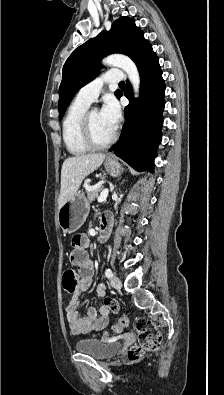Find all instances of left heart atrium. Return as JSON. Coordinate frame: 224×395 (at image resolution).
<instances>
[{
	"label": "left heart atrium",
	"mask_w": 224,
	"mask_h": 395,
	"mask_svg": "<svg viewBox=\"0 0 224 395\" xmlns=\"http://www.w3.org/2000/svg\"><path fill=\"white\" fill-rule=\"evenodd\" d=\"M102 118L115 131L121 118V111L115 98L106 97L100 110Z\"/></svg>",
	"instance_id": "left-heart-atrium-1"
}]
</instances>
